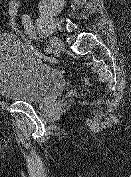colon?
Here are the masks:
<instances>
[{"label":"colon","mask_w":131,"mask_h":177,"mask_svg":"<svg viewBox=\"0 0 131 177\" xmlns=\"http://www.w3.org/2000/svg\"><path fill=\"white\" fill-rule=\"evenodd\" d=\"M5 13L8 21V26L11 31L19 37L26 47L37 57L43 58L53 63L59 61L55 58L45 56L25 35L21 27L22 9L18 0H7L5 4Z\"/></svg>","instance_id":"obj_1"}]
</instances>
